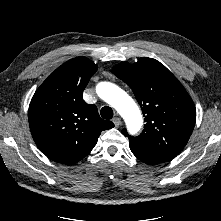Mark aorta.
Returning <instances> with one entry per match:
<instances>
[{
	"mask_svg": "<svg viewBox=\"0 0 221 221\" xmlns=\"http://www.w3.org/2000/svg\"><path fill=\"white\" fill-rule=\"evenodd\" d=\"M96 92L123 117L130 134L134 135L141 129L143 124L141 112L126 92L110 82H100L96 86Z\"/></svg>",
	"mask_w": 221,
	"mask_h": 221,
	"instance_id": "762f6f07",
	"label": "aorta"
}]
</instances>
